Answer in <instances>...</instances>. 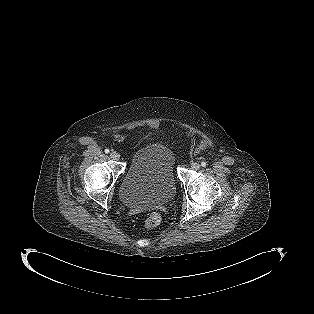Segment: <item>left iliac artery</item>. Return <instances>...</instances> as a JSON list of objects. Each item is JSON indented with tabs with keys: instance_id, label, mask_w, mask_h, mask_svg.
I'll list each match as a JSON object with an SVG mask.
<instances>
[{
	"instance_id": "44dca946",
	"label": "left iliac artery",
	"mask_w": 314,
	"mask_h": 314,
	"mask_svg": "<svg viewBox=\"0 0 314 314\" xmlns=\"http://www.w3.org/2000/svg\"><path fill=\"white\" fill-rule=\"evenodd\" d=\"M206 165H207L206 162H202V163H201V166H202V167H206Z\"/></svg>"
}]
</instances>
